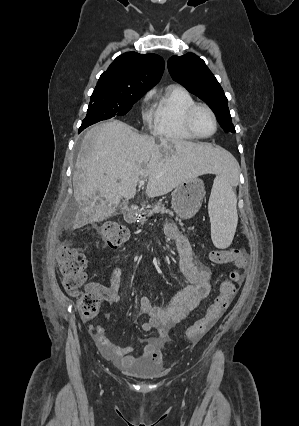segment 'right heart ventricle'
<instances>
[{
    "mask_svg": "<svg viewBox=\"0 0 299 426\" xmlns=\"http://www.w3.org/2000/svg\"><path fill=\"white\" fill-rule=\"evenodd\" d=\"M195 104L192 95L183 87L169 85L157 95L153 111V133L172 141H189L194 137L184 126L187 109Z\"/></svg>",
    "mask_w": 299,
    "mask_h": 426,
    "instance_id": "1",
    "label": "right heart ventricle"
}]
</instances>
